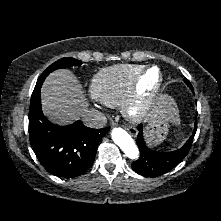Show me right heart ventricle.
Wrapping results in <instances>:
<instances>
[{"label":"right heart ventricle","mask_w":221,"mask_h":221,"mask_svg":"<svg viewBox=\"0 0 221 221\" xmlns=\"http://www.w3.org/2000/svg\"><path fill=\"white\" fill-rule=\"evenodd\" d=\"M142 68L143 66L136 64H120L100 70L90 83L91 97L109 107L120 106L134 76Z\"/></svg>","instance_id":"e07e8e85"}]
</instances>
